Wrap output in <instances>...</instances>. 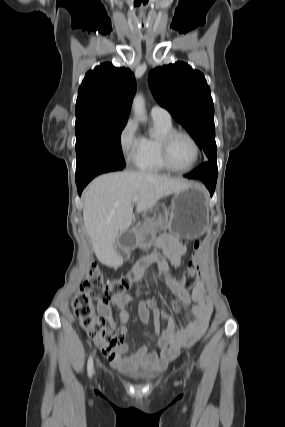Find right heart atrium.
Here are the masks:
<instances>
[{
	"label": "right heart atrium",
	"mask_w": 285,
	"mask_h": 427,
	"mask_svg": "<svg viewBox=\"0 0 285 427\" xmlns=\"http://www.w3.org/2000/svg\"><path fill=\"white\" fill-rule=\"evenodd\" d=\"M141 144L138 124L135 119L126 121L119 134L120 150L127 162H134Z\"/></svg>",
	"instance_id": "d8ad5b80"
}]
</instances>
